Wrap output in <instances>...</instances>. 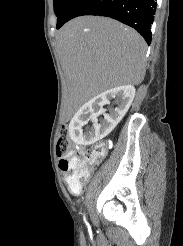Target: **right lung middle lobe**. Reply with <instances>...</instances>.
Segmentation results:
<instances>
[{
	"mask_svg": "<svg viewBox=\"0 0 183 246\" xmlns=\"http://www.w3.org/2000/svg\"><path fill=\"white\" fill-rule=\"evenodd\" d=\"M79 0H54V12L57 16V25L64 22Z\"/></svg>",
	"mask_w": 183,
	"mask_h": 246,
	"instance_id": "right-lung-middle-lobe-1",
	"label": "right lung middle lobe"
}]
</instances>
